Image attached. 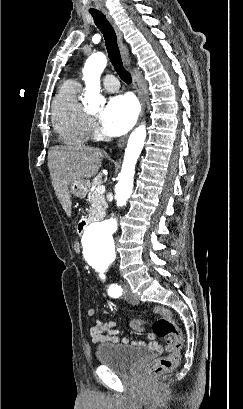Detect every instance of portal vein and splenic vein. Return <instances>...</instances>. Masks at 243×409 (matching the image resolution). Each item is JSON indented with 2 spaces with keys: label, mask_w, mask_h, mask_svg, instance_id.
Returning <instances> with one entry per match:
<instances>
[{
  "label": "portal vein and splenic vein",
  "mask_w": 243,
  "mask_h": 409,
  "mask_svg": "<svg viewBox=\"0 0 243 409\" xmlns=\"http://www.w3.org/2000/svg\"><path fill=\"white\" fill-rule=\"evenodd\" d=\"M96 191H97L98 193H100V194L105 193V186L99 185V186L96 188Z\"/></svg>",
  "instance_id": "obj_1"
}]
</instances>
